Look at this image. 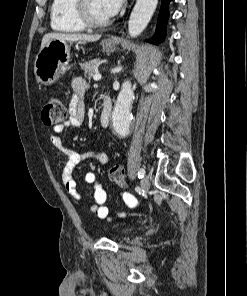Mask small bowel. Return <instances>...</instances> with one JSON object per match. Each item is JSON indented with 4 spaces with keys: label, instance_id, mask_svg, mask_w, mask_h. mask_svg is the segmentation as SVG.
<instances>
[{
    "label": "small bowel",
    "instance_id": "small-bowel-1",
    "mask_svg": "<svg viewBox=\"0 0 247 296\" xmlns=\"http://www.w3.org/2000/svg\"><path fill=\"white\" fill-rule=\"evenodd\" d=\"M72 98L69 104V115L67 119L60 125L55 126L50 133V140L53 146L57 149L58 154L67 156V161L62 169V182L66 191L77 201L82 202L83 196L78 191L77 181L72 175L73 169L81 162L87 159H97L101 163L107 161L106 156L95 151L78 152L68 149L64 146L60 133L64 129L79 128L82 126L85 115L84 95L87 90L86 83L81 78H74L71 82ZM85 181L93 185V203L90 205V210L100 219L109 218V209L105 205L107 193L97 181L94 173H87ZM121 198L129 207L137 205V200L129 193L121 192Z\"/></svg>",
    "mask_w": 247,
    "mask_h": 296
}]
</instances>
